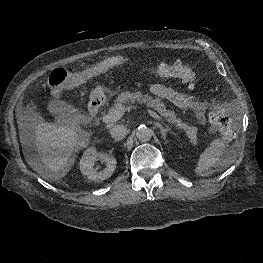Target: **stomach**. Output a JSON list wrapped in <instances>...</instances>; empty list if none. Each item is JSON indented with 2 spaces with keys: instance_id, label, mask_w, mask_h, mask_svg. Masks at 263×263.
Segmentation results:
<instances>
[{
  "instance_id": "stomach-1",
  "label": "stomach",
  "mask_w": 263,
  "mask_h": 263,
  "mask_svg": "<svg viewBox=\"0 0 263 263\" xmlns=\"http://www.w3.org/2000/svg\"><path fill=\"white\" fill-rule=\"evenodd\" d=\"M105 88L103 86H97L90 93L92 100H104L105 99Z\"/></svg>"
}]
</instances>
